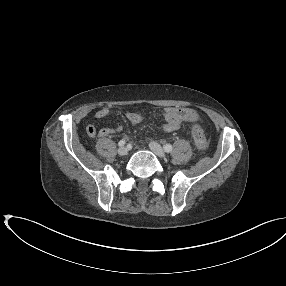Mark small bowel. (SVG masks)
I'll return each mask as SVG.
<instances>
[{"mask_svg": "<svg viewBox=\"0 0 286 286\" xmlns=\"http://www.w3.org/2000/svg\"><path fill=\"white\" fill-rule=\"evenodd\" d=\"M110 113L107 107H102L95 113L96 119H104ZM164 124L163 129L166 132H173L179 129L183 122L199 121V114L188 107H167L163 110ZM127 120L131 124H138L143 120V116L136 112H128L126 114ZM122 130L121 124H117L114 128H102L98 131V135L101 138L107 137L111 134L118 133ZM87 134L89 137H94L97 134L95 125L91 124L87 127Z\"/></svg>", "mask_w": 286, "mask_h": 286, "instance_id": "c3829d8e", "label": "small bowel"}]
</instances>
